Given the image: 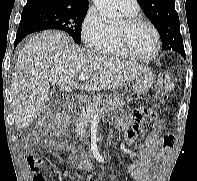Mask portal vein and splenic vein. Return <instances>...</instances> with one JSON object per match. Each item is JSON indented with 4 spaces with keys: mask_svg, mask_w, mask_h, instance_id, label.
I'll return each instance as SVG.
<instances>
[{
    "mask_svg": "<svg viewBox=\"0 0 197 181\" xmlns=\"http://www.w3.org/2000/svg\"><path fill=\"white\" fill-rule=\"evenodd\" d=\"M79 79H80L81 81H86V80L89 79V76H88V75H85V74H80V75H79Z\"/></svg>",
    "mask_w": 197,
    "mask_h": 181,
    "instance_id": "obj_1",
    "label": "portal vein and splenic vein"
}]
</instances>
